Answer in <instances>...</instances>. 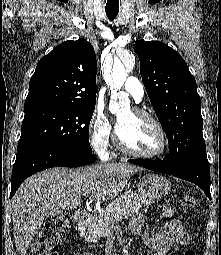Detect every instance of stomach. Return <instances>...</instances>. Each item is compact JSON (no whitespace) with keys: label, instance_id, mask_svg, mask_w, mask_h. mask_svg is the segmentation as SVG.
Here are the masks:
<instances>
[{"label":"stomach","instance_id":"obj_1","mask_svg":"<svg viewBox=\"0 0 221 255\" xmlns=\"http://www.w3.org/2000/svg\"><path fill=\"white\" fill-rule=\"evenodd\" d=\"M138 192L140 196L148 201L154 202L166 195L170 189V182L163 176L157 174H148L142 177L138 183Z\"/></svg>","mask_w":221,"mask_h":255}]
</instances>
